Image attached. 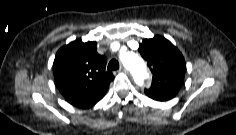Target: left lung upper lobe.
I'll use <instances>...</instances> for the list:
<instances>
[{"instance_id": "obj_1", "label": "left lung upper lobe", "mask_w": 236, "mask_h": 135, "mask_svg": "<svg viewBox=\"0 0 236 135\" xmlns=\"http://www.w3.org/2000/svg\"><path fill=\"white\" fill-rule=\"evenodd\" d=\"M138 50L153 73L152 85L145 93L178 92L184 81L186 64L177 47L166 38L155 36L144 39Z\"/></svg>"}]
</instances>
